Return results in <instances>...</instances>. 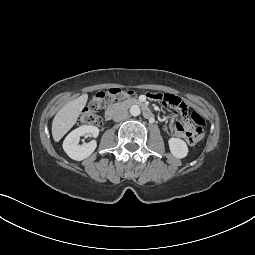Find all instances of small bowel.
<instances>
[{"instance_id": "1", "label": "small bowel", "mask_w": 255, "mask_h": 255, "mask_svg": "<svg viewBox=\"0 0 255 255\" xmlns=\"http://www.w3.org/2000/svg\"><path fill=\"white\" fill-rule=\"evenodd\" d=\"M169 95L174 96V97H176V98L179 99L180 104L176 107V109H177L179 112H182V111H184V110H188L187 104H186L182 99H180L179 97H177V96H175V95H173V94H169ZM177 124H178V123H172V124L170 125V130L173 131Z\"/></svg>"}]
</instances>
